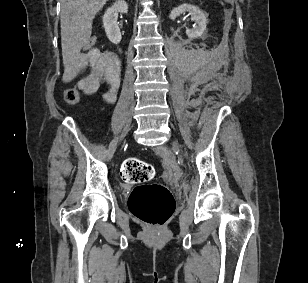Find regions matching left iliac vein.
Returning a JSON list of instances; mask_svg holds the SVG:
<instances>
[{
  "label": "left iliac vein",
  "mask_w": 308,
  "mask_h": 283,
  "mask_svg": "<svg viewBox=\"0 0 308 283\" xmlns=\"http://www.w3.org/2000/svg\"><path fill=\"white\" fill-rule=\"evenodd\" d=\"M172 145H173V148H174L175 150H177V151L180 152V148H179V145H178L177 143L173 142Z\"/></svg>",
  "instance_id": "left-iliac-vein-1"
}]
</instances>
